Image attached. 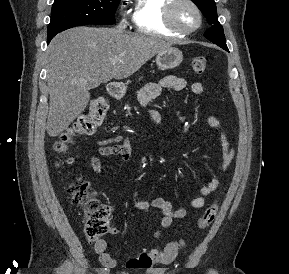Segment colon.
Wrapping results in <instances>:
<instances>
[{
    "label": "colon",
    "instance_id": "obj_1",
    "mask_svg": "<svg viewBox=\"0 0 289 274\" xmlns=\"http://www.w3.org/2000/svg\"><path fill=\"white\" fill-rule=\"evenodd\" d=\"M208 64L206 56L194 57L191 66L197 74H202ZM108 110V104L104 98L98 97L91 101L88 112L79 116L72 126L55 143L56 152L65 156L68 147L75 138L93 134L102 124ZM63 161L70 163L71 158L64 157ZM68 194L72 202L82 207L84 212V229L88 239L99 240L107 233H112L110 206L101 202L89 189V184L83 179H76L68 186ZM219 205L215 201L210 204L198 220L200 230L208 227L218 213ZM184 241H173L168 243L163 250H150L142 252L137 257L127 262V268L146 270L157 264L171 263L184 247Z\"/></svg>",
    "mask_w": 289,
    "mask_h": 274
}]
</instances>
